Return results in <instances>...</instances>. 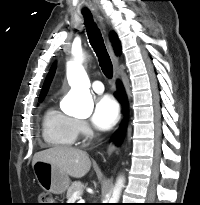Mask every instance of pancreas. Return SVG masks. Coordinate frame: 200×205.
Returning <instances> with one entry per match:
<instances>
[{
  "mask_svg": "<svg viewBox=\"0 0 200 205\" xmlns=\"http://www.w3.org/2000/svg\"><path fill=\"white\" fill-rule=\"evenodd\" d=\"M82 190H83V184L80 181L73 182L67 190L66 197L68 199V203H70V199L74 192H77V191L81 192Z\"/></svg>",
  "mask_w": 200,
  "mask_h": 205,
  "instance_id": "cf45deb5",
  "label": "pancreas"
}]
</instances>
